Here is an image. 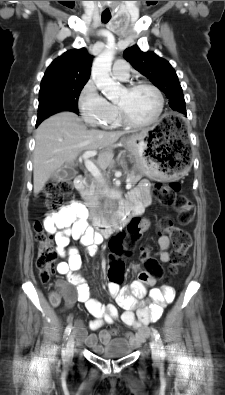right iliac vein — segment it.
Here are the masks:
<instances>
[{"instance_id":"63e3f726","label":"right iliac vein","mask_w":225,"mask_h":395,"mask_svg":"<svg viewBox=\"0 0 225 395\" xmlns=\"http://www.w3.org/2000/svg\"><path fill=\"white\" fill-rule=\"evenodd\" d=\"M74 337L75 334L74 332L71 333V335L68 338L67 344H66V350H65V359L67 362H69L74 355Z\"/></svg>"}]
</instances>
